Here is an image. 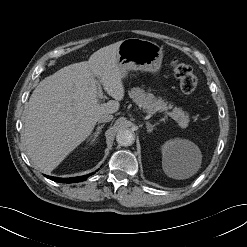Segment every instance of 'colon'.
<instances>
[{
    "label": "colon",
    "mask_w": 247,
    "mask_h": 247,
    "mask_svg": "<svg viewBox=\"0 0 247 247\" xmlns=\"http://www.w3.org/2000/svg\"><path fill=\"white\" fill-rule=\"evenodd\" d=\"M171 67L179 81L181 90L185 94L193 93L197 87V78L191 67L176 60L171 63Z\"/></svg>",
    "instance_id": "1"
}]
</instances>
